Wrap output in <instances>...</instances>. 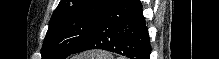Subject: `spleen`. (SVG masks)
I'll use <instances>...</instances> for the list:
<instances>
[{
	"label": "spleen",
	"mask_w": 219,
	"mask_h": 59,
	"mask_svg": "<svg viewBox=\"0 0 219 59\" xmlns=\"http://www.w3.org/2000/svg\"><path fill=\"white\" fill-rule=\"evenodd\" d=\"M108 56L103 55L101 52H93L85 55L86 59H106Z\"/></svg>",
	"instance_id": "3e777b00"
}]
</instances>
